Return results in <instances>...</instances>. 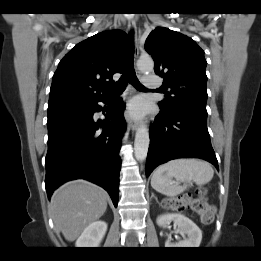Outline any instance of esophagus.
<instances>
[{"instance_id": "esophagus-1", "label": "esophagus", "mask_w": 261, "mask_h": 261, "mask_svg": "<svg viewBox=\"0 0 261 261\" xmlns=\"http://www.w3.org/2000/svg\"><path fill=\"white\" fill-rule=\"evenodd\" d=\"M128 28L130 31L133 32L134 34V42H135V49H134V55H135V58L138 57L139 55V47H138V41H137V33H136V21L134 19H129L128 21ZM125 119L129 125V127L131 128V130L134 132L137 130L138 128V123L133 121L127 112H125Z\"/></svg>"}]
</instances>
